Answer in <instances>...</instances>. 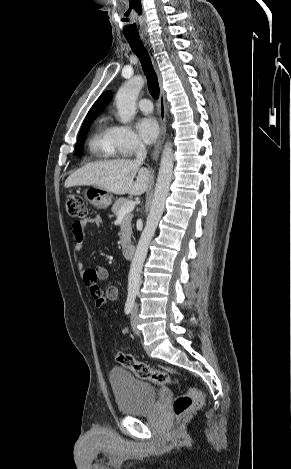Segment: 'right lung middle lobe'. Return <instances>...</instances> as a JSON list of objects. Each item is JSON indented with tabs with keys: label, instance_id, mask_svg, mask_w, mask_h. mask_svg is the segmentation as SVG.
Returning <instances> with one entry per match:
<instances>
[{
	"label": "right lung middle lobe",
	"instance_id": "dd1d6c3e",
	"mask_svg": "<svg viewBox=\"0 0 291 469\" xmlns=\"http://www.w3.org/2000/svg\"><path fill=\"white\" fill-rule=\"evenodd\" d=\"M94 120V117H89V118H85L84 122H83V125H82V128H81V131H80V134H79V138H78V141L76 143V151H75V154L78 156V157H81L82 154H83V150H82V145H83V141L86 137V134H87V131L91 125V123L93 122Z\"/></svg>",
	"mask_w": 291,
	"mask_h": 469
}]
</instances>
